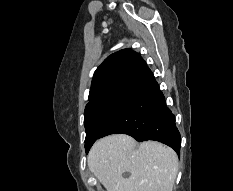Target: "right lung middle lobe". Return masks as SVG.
I'll use <instances>...</instances> for the list:
<instances>
[{
  "mask_svg": "<svg viewBox=\"0 0 233 191\" xmlns=\"http://www.w3.org/2000/svg\"><path fill=\"white\" fill-rule=\"evenodd\" d=\"M128 91L116 93L86 105L84 125L86 129L85 149L89 151L105 127L126 105Z\"/></svg>",
  "mask_w": 233,
  "mask_h": 191,
  "instance_id": "dd1d6c3e",
  "label": "right lung middle lobe"
}]
</instances>
